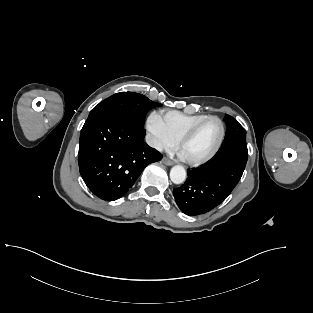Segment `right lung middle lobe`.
Here are the masks:
<instances>
[{"mask_svg": "<svg viewBox=\"0 0 313 313\" xmlns=\"http://www.w3.org/2000/svg\"><path fill=\"white\" fill-rule=\"evenodd\" d=\"M161 106L142 94L120 92L110 96L95 106L86 121L101 115H112L124 119L131 125L143 129L144 120L149 110Z\"/></svg>", "mask_w": 313, "mask_h": 313, "instance_id": "dd1d6c3e", "label": "right lung middle lobe"}]
</instances>
